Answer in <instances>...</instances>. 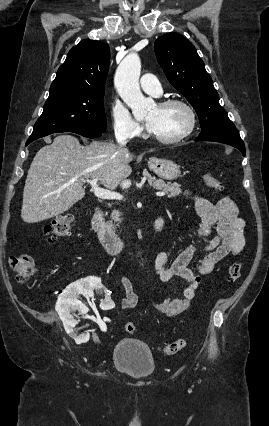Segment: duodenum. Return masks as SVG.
<instances>
[{
    "label": "duodenum",
    "instance_id": "1",
    "mask_svg": "<svg viewBox=\"0 0 269 426\" xmlns=\"http://www.w3.org/2000/svg\"><path fill=\"white\" fill-rule=\"evenodd\" d=\"M91 224L108 254L118 255L124 250L126 245L125 240L105 224L103 213L100 208L95 209ZM164 224L165 220L163 215L159 214L156 216L152 222L150 236L152 238L157 237L162 232Z\"/></svg>",
    "mask_w": 269,
    "mask_h": 426
}]
</instances>
